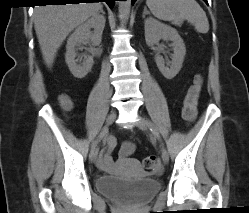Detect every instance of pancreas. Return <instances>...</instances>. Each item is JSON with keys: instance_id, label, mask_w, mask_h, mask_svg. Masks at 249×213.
<instances>
[{"instance_id": "1", "label": "pancreas", "mask_w": 249, "mask_h": 213, "mask_svg": "<svg viewBox=\"0 0 249 213\" xmlns=\"http://www.w3.org/2000/svg\"><path fill=\"white\" fill-rule=\"evenodd\" d=\"M175 25L181 26V23L180 22H175Z\"/></svg>"}]
</instances>
